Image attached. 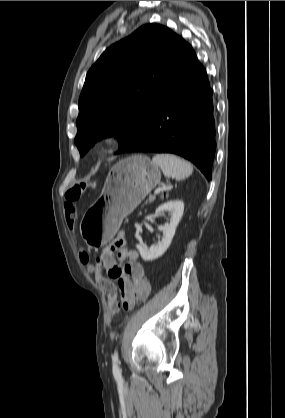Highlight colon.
<instances>
[{
    "label": "colon",
    "instance_id": "1",
    "mask_svg": "<svg viewBox=\"0 0 285 418\" xmlns=\"http://www.w3.org/2000/svg\"><path fill=\"white\" fill-rule=\"evenodd\" d=\"M67 200L65 203V217L66 222L70 230H73L77 221L78 213L75 206V202L80 197V192L77 190H69L66 194ZM116 247H120V243H116ZM80 260L87 269L93 271L97 276L98 284L103 288L106 293V307L108 311L112 314L116 313L119 306L116 300V287L111 279L104 277L102 275L101 263L96 261L91 263L90 257L86 251H81L79 254ZM138 300H143L139 298ZM133 301H126L123 305L124 308L130 309L133 306Z\"/></svg>",
    "mask_w": 285,
    "mask_h": 418
}]
</instances>
